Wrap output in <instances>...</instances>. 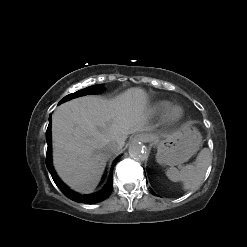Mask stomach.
Here are the masks:
<instances>
[{
  "instance_id": "obj_1",
  "label": "stomach",
  "mask_w": 247,
  "mask_h": 247,
  "mask_svg": "<svg viewBox=\"0 0 247 247\" xmlns=\"http://www.w3.org/2000/svg\"><path fill=\"white\" fill-rule=\"evenodd\" d=\"M202 142L200 132L188 123L182 128L158 142L157 162L175 166L188 161L199 149Z\"/></svg>"
}]
</instances>
